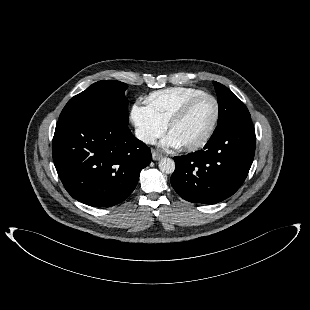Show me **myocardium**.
Instances as JSON below:
<instances>
[{"instance_id":"1","label":"myocardium","mask_w":310,"mask_h":310,"mask_svg":"<svg viewBox=\"0 0 310 310\" xmlns=\"http://www.w3.org/2000/svg\"><path fill=\"white\" fill-rule=\"evenodd\" d=\"M205 98L211 99L214 102L215 113H214L213 120H212L208 130L206 131V133L203 135L202 138H200L196 142H193L190 144L180 145L181 148L186 150V151L199 150L202 147H204L209 142V140L212 138V136L216 130V127L218 125L219 118H220V105H219L218 100L214 96L207 94V93H203L201 95L195 96V97L189 99L188 101H186L178 109V111L172 116V118L169 120V122L167 124L168 131L171 132L173 127L175 125H177L179 122H181L186 117V115L189 113V111L194 106V104H196L198 101L205 99Z\"/></svg>"}]
</instances>
